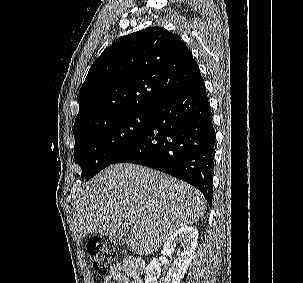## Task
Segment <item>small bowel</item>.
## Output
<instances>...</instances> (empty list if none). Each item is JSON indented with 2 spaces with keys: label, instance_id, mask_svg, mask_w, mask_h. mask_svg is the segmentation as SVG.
<instances>
[{
  "label": "small bowel",
  "instance_id": "obj_1",
  "mask_svg": "<svg viewBox=\"0 0 303 283\" xmlns=\"http://www.w3.org/2000/svg\"><path fill=\"white\" fill-rule=\"evenodd\" d=\"M137 261L129 257L123 263L111 266L110 274L100 283H142L144 270L138 267Z\"/></svg>",
  "mask_w": 303,
  "mask_h": 283
}]
</instances>
